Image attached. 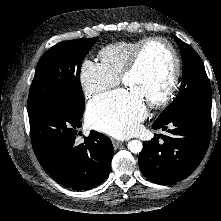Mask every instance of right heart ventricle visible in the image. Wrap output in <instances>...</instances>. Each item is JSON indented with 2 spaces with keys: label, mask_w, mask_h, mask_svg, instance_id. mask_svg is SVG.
<instances>
[{
  "label": "right heart ventricle",
  "mask_w": 221,
  "mask_h": 221,
  "mask_svg": "<svg viewBox=\"0 0 221 221\" xmlns=\"http://www.w3.org/2000/svg\"><path fill=\"white\" fill-rule=\"evenodd\" d=\"M142 40L119 41L105 46L99 52L100 65L107 73L120 78L134 49Z\"/></svg>",
  "instance_id": "1"
}]
</instances>
